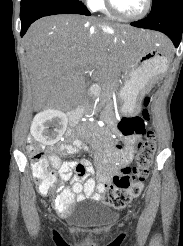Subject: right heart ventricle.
Here are the masks:
<instances>
[{
  "instance_id": "e07e8e85",
  "label": "right heart ventricle",
  "mask_w": 183,
  "mask_h": 246,
  "mask_svg": "<svg viewBox=\"0 0 183 246\" xmlns=\"http://www.w3.org/2000/svg\"><path fill=\"white\" fill-rule=\"evenodd\" d=\"M95 10H99L105 14H110V12L108 11L107 7H106V4L104 2V0H101L99 2V4L95 7Z\"/></svg>"
}]
</instances>
